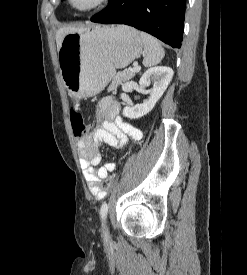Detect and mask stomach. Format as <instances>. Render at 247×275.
<instances>
[{"label": "stomach", "mask_w": 247, "mask_h": 275, "mask_svg": "<svg viewBox=\"0 0 247 275\" xmlns=\"http://www.w3.org/2000/svg\"><path fill=\"white\" fill-rule=\"evenodd\" d=\"M139 32L129 26H96L64 36L58 51L64 85L74 101L100 93L116 69L143 52Z\"/></svg>", "instance_id": "1"}]
</instances>
